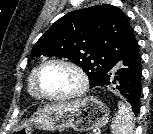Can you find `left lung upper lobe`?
<instances>
[{"label": "left lung upper lobe", "instance_id": "1", "mask_svg": "<svg viewBox=\"0 0 153 134\" xmlns=\"http://www.w3.org/2000/svg\"><path fill=\"white\" fill-rule=\"evenodd\" d=\"M136 50L138 43L128 17L116 6L103 4L69 12L57 20L37 41L32 55L68 58L83 68L92 88Z\"/></svg>", "mask_w": 153, "mask_h": 134}]
</instances>
